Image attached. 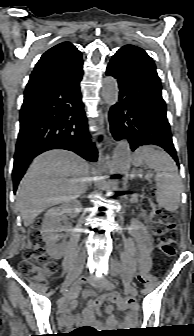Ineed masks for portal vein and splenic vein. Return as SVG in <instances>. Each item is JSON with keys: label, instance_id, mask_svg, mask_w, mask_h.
I'll return each instance as SVG.
<instances>
[{"label": "portal vein and splenic vein", "instance_id": "obj_1", "mask_svg": "<svg viewBox=\"0 0 194 336\" xmlns=\"http://www.w3.org/2000/svg\"><path fill=\"white\" fill-rule=\"evenodd\" d=\"M140 176H142V174H140ZM148 176H150V175H146V177H148Z\"/></svg>", "mask_w": 194, "mask_h": 336}]
</instances>
